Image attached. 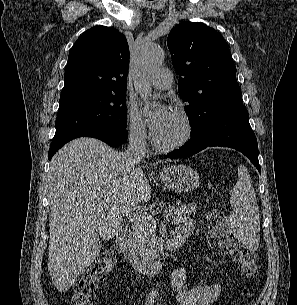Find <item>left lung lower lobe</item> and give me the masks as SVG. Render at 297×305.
Segmentation results:
<instances>
[{"label":"left lung lower lobe","instance_id":"1","mask_svg":"<svg viewBox=\"0 0 297 305\" xmlns=\"http://www.w3.org/2000/svg\"><path fill=\"white\" fill-rule=\"evenodd\" d=\"M213 146L230 147L242 152L261 173L257 139L243 105L228 108L224 114L210 119L198 134L192 135L181 149L168 153L167 158L188 157Z\"/></svg>","mask_w":297,"mask_h":305}]
</instances>
